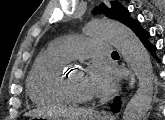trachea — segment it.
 <instances>
[{"mask_svg": "<svg viewBox=\"0 0 165 120\" xmlns=\"http://www.w3.org/2000/svg\"><path fill=\"white\" fill-rule=\"evenodd\" d=\"M112 55H118V53H117L116 51H114V52L112 53Z\"/></svg>", "mask_w": 165, "mask_h": 120, "instance_id": "3493384b", "label": "trachea"}]
</instances>
